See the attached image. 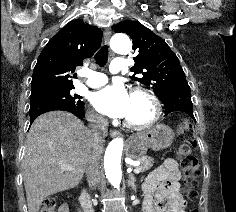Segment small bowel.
<instances>
[{"label":"small bowel","instance_id":"obj_1","mask_svg":"<svg viewBox=\"0 0 236 212\" xmlns=\"http://www.w3.org/2000/svg\"><path fill=\"white\" fill-rule=\"evenodd\" d=\"M179 177L177 163L173 159H167L157 167L143 186L144 212H185V201L177 190ZM59 212H68V206L63 205Z\"/></svg>","mask_w":236,"mask_h":212}]
</instances>
